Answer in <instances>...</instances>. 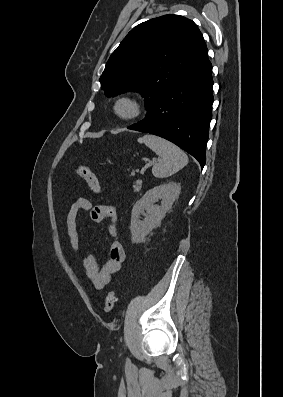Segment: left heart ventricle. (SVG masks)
Listing matches in <instances>:
<instances>
[{
	"mask_svg": "<svg viewBox=\"0 0 283 397\" xmlns=\"http://www.w3.org/2000/svg\"><path fill=\"white\" fill-rule=\"evenodd\" d=\"M120 110L122 113H129L131 111V106L129 104H122Z\"/></svg>",
	"mask_w": 283,
	"mask_h": 397,
	"instance_id": "obj_1",
	"label": "left heart ventricle"
}]
</instances>
